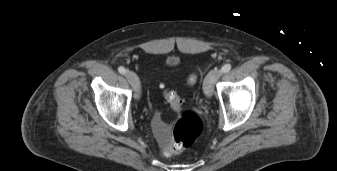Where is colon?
Wrapping results in <instances>:
<instances>
[{
	"label": "colon",
	"instance_id": "1",
	"mask_svg": "<svg viewBox=\"0 0 337 171\" xmlns=\"http://www.w3.org/2000/svg\"><path fill=\"white\" fill-rule=\"evenodd\" d=\"M195 82L196 75L191 74L188 77V84L193 85ZM164 96L171 109L176 113L177 120L171 138L167 136L165 128L161 124H157L155 130L162 145L163 155L169 157L189 148L195 142L203 131V122L196 113L183 110L182 100L174 91L166 90Z\"/></svg>",
	"mask_w": 337,
	"mask_h": 171
}]
</instances>
